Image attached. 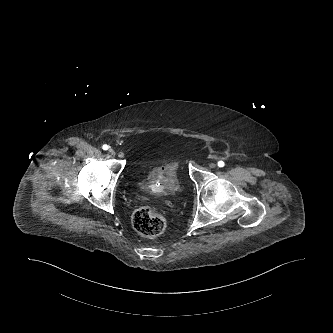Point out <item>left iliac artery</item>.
<instances>
[{
	"label": "left iliac artery",
	"instance_id": "1",
	"mask_svg": "<svg viewBox=\"0 0 333 333\" xmlns=\"http://www.w3.org/2000/svg\"><path fill=\"white\" fill-rule=\"evenodd\" d=\"M225 163L223 161H219L218 162V166L221 168V167H224Z\"/></svg>",
	"mask_w": 333,
	"mask_h": 333
}]
</instances>
